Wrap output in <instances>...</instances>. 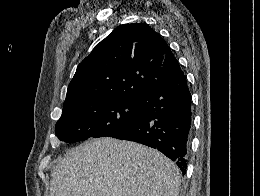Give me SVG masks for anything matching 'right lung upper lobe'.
Masks as SVG:
<instances>
[{
	"label": "right lung upper lobe",
	"mask_w": 260,
	"mask_h": 196,
	"mask_svg": "<svg viewBox=\"0 0 260 196\" xmlns=\"http://www.w3.org/2000/svg\"><path fill=\"white\" fill-rule=\"evenodd\" d=\"M181 75L159 33L145 23L120 25L78 65L63 108L105 95L139 99Z\"/></svg>",
	"instance_id": "cb5924a9"
}]
</instances>
